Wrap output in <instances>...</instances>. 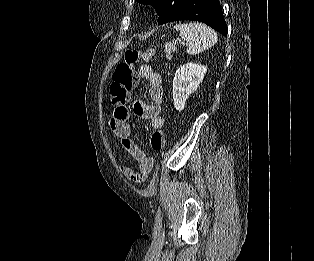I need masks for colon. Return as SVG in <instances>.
<instances>
[{
    "mask_svg": "<svg viewBox=\"0 0 314 261\" xmlns=\"http://www.w3.org/2000/svg\"><path fill=\"white\" fill-rule=\"evenodd\" d=\"M155 54L154 48L138 50L130 48L124 54V61L120 62L112 74L110 95L112 105H124L128 101L129 93L136 84L134 67L141 61H149ZM165 143L162 129H155L150 138V146L153 151L159 152Z\"/></svg>",
    "mask_w": 314,
    "mask_h": 261,
    "instance_id": "5ec220e1",
    "label": "colon"
}]
</instances>
